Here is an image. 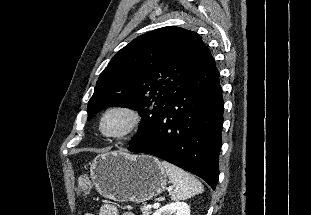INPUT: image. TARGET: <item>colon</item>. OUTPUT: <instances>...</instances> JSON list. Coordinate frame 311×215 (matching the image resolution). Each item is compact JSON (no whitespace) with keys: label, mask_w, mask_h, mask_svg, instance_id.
I'll return each mask as SVG.
<instances>
[{"label":"colon","mask_w":311,"mask_h":215,"mask_svg":"<svg viewBox=\"0 0 311 215\" xmlns=\"http://www.w3.org/2000/svg\"><path fill=\"white\" fill-rule=\"evenodd\" d=\"M91 189V183L87 175H81L77 181V193L81 196L89 194Z\"/></svg>","instance_id":"obj_1"}]
</instances>
